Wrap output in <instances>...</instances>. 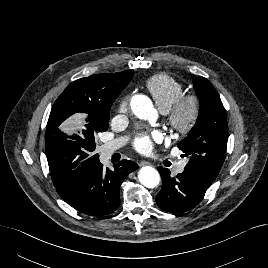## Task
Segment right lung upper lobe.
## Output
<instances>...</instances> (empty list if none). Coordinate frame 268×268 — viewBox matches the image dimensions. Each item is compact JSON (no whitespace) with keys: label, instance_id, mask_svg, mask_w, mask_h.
<instances>
[{"label":"right lung upper lobe","instance_id":"1","mask_svg":"<svg viewBox=\"0 0 268 268\" xmlns=\"http://www.w3.org/2000/svg\"><path fill=\"white\" fill-rule=\"evenodd\" d=\"M133 75V70H126L78 79L62 92L55 104H64L67 118L76 113L87 115L88 124L96 118L109 116L112 103L132 80ZM54 185L61 197L73 187H63L58 182H54Z\"/></svg>","mask_w":268,"mask_h":268}]
</instances>
